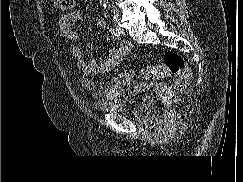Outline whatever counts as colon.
Instances as JSON below:
<instances>
[{
	"instance_id": "obj_1",
	"label": "colon",
	"mask_w": 243,
	"mask_h": 182,
	"mask_svg": "<svg viewBox=\"0 0 243 182\" xmlns=\"http://www.w3.org/2000/svg\"><path fill=\"white\" fill-rule=\"evenodd\" d=\"M55 5L61 10H72L75 0H55ZM141 75L147 80H158L169 75L178 76V79L168 88L166 97L179 94L187 87L191 79L190 70L184 59L173 51L166 52L161 63L144 67Z\"/></svg>"
}]
</instances>
